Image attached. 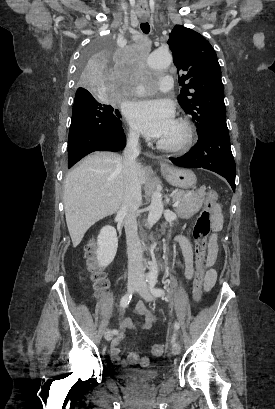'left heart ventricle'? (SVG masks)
<instances>
[{
  "label": "left heart ventricle",
  "instance_id": "1",
  "mask_svg": "<svg viewBox=\"0 0 275 409\" xmlns=\"http://www.w3.org/2000/svg\"><path fill=\"white\" fill-rule=\"evenodd\" d=\"M180 135V130L174 123L171 128L160 138L157 140L159 141H165V142H172L175 141Z\"/></svg>",
  "mask_w": 275,
  "mask_h": 409
}]
</instances>
